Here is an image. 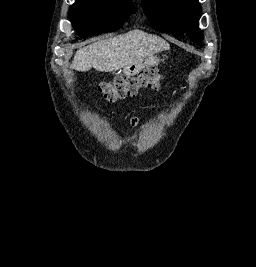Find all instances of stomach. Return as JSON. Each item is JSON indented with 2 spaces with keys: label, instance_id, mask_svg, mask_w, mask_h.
<instances>
[{
  "label": "stomach",
  "instance_id": "1",
  "mask_svg": "<svg viewBox=\"0 0 256 267\" xmlns=\"http://www.w3.org/2000/svg\"><path fill=\"white\" fill-rule=\"evenodd\" d=\"M135 67H162V62H135Z\"/></svg>",
  "mask_w": 256,
  "mask_h": 267
}]
</instances>
